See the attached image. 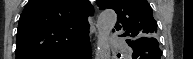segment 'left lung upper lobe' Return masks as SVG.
I'll return each mask as SVG.
<instances>
[{
  "instance_id": "obj_1",
  "label": "left lung upper lobe",
  "mask_w": 193,
  "mask_h": 59,
  "mask_svg": "<svg viewBox=\"0 0 193 59\" xmlns=\"http://www.w3.org/2000/svg\"><path fill=\"white\" fill-rule=\"evenodd\" d=\"M101 10L112 8L117 13L116 31L124 32L126 42H153L157 33V24L152 8L147 0H97Z\"/></svg>"
}]
</instances>
